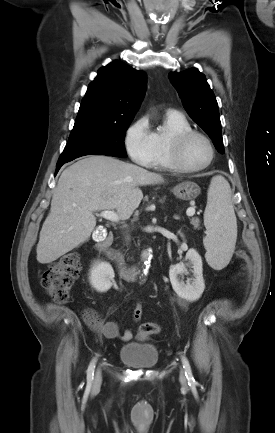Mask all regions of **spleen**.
I'll list each match as a JSON object with an SVG mask.
<instances>
[{"label": "spleen", "mask_w": 275, "mask_h": 433, "mask_svg": "<svg viewBox=\"0 0 275 433\" xmlns=\"http://www.w3.org/2000/svg\"><path fill=\"white\" fill-rule=\"evenodd\" d=\"M204 224L207 230L203 239L205 258L212 268L221 270L228 265L237 239V220L231 201V189L222 176H215L211 180Z\"/></svg>", "instance_id": "3e777b00"}]
</instances>
